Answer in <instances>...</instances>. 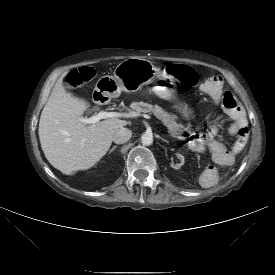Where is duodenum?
<instances>
[{
	"instance_id": "410a0bca",
	"label": "duodenum",
	"mask_w": 275,
	"mask_h": 275,
	"mask_svg": "<svg viewBox=\"0 0 275 275\" xmlns=\"http://www.w3.org/2000/svg\"><path fill=\"white\" fill-rule=\"evenodd\" d=\"M91 97L94 103H99L100 105H107L109 103V96L107 94H103V92L99 89L94 90Z\"/></svg>"
}]
</instances>
